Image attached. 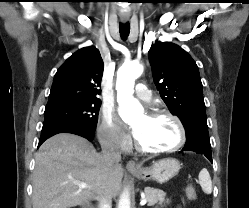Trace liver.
I'll return each mask as SVG.
<instances>
[{
  "label": "liver",
  "mask_w": 249,
  "mask_h": 208,
  "mask_svg": "<svg viewBox=\"0 0 249 208\" xmlns=\"http://www.w3.org/2000/svg\"><path fill=\"white\" fill-rule=\"evenodd\" d=\"M120 164L107 169L102 155L85 138L60 133L47 139L35 156L33 208H70L121 189ZM84 182L80 188L74 182Z\"/></svg>",
  "instance_id": "6515ba94"
}]
</instances>
